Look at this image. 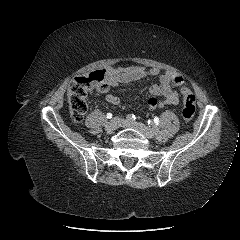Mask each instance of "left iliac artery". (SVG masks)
Returning a JSON list of instances; mask_svg holds the SVG:
<instances>
[{"label":"left iliac artery","mask_w":240,"mask_h":240,"mask_svg":"<svg viewBox=\"0 0 240 240\" xmlns=\"http://www.w3.org/2000/svg\"><path fill=\"white\" fill-rule=\"evenodd\" d=\"M148 125L153 134H155L159 138L162 137V135H163L162 132H160V131L158 132V129L153 125L152 121L149 120Z\"/></svg>","instance_id":"obj_1"}]
</instances>
